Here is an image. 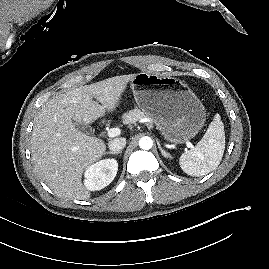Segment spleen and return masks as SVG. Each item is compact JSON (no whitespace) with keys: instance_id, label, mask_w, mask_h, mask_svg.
<instances>
[{"instance_id":"obj_1","label":"spleen","mask_w":269,"mask_h":269,"mask_svg":"<svg viewBox=\"0 0 269 269\" xmlns=\"http://www.w3.org/2000/svg\"><path fill=\"white\" fill-rule=\"evenodd\" d=\"M225 150L224 125L216 114L195 149L185 151L180 159L181 169L190 176H204L220 164Z\"/></svg>"}]
</instances>
